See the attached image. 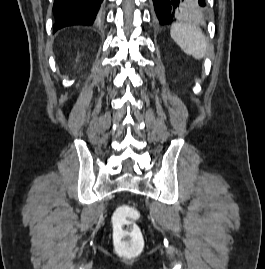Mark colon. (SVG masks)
Returning a JSON list of instances; mask_svg holds the SVG:
<instances>
[{
	"label": "colon",
	"instance_id": "obj_1",
	"mask_svg": "<svg viewBox=\"0 0 265 269\" xmlns=\"http://www.w3.org/2000/svg\"><path fill=\"white\" fill-rule=\"evenodd\" d=\"M138 216L132 207H121L115 213L114 239L122 251H133L139 244L141 232L135 223Z\"/></svg>",
	"mask_w": 265,
	"mask_h": 269
}]
</instances>
